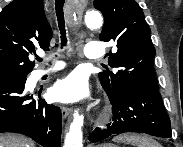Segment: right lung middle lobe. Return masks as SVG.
I'll return each instance as SVG.
<instances>
[{"mask_svg":"<svg viewBox=\"0 0 183 147\" xmlns=\"http://www.w3.org/2000/svg\"><path fill=\"white\" fill-rule=\"evenodd\" d=\"M24 78H26V77H23V78H18V79H24Z\"/></svg>","mask_w":183,"mask_h":147,"instance_id":"dd1d6c3e","label":"right lung middle lobe"}]
</instances>
